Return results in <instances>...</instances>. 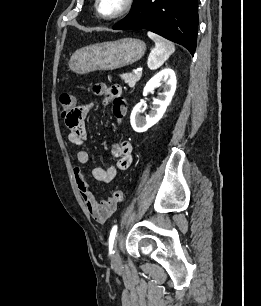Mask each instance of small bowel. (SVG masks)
I'll return each instance as SVG.
<instances>
[{
    "label": "small bowel",
    "mask_w": 261,
    "mask_h": 306,
    "mask_svg": "<svg viewBox=\"0 0 261 306\" xmlns=\"http://www.w3.org/2000/svg\"><path fill=\"white\" fill-rule=\"evenodd\" d=\"M96 96L101 97L102 103L108 105L112 103V113L115 120L121 123L126 113V106L121 99L122 87L120 85H97L94 87ZM94 103H88L76 107L71 113L65 116V124L69 130L68 141L78 147L76 151V159L78 166L74 168V176L78 186V190L83 199V202L91 215V217L99 223H105L116 211L117 202L113 197L97 200L93 195L86 176L82 170V166L90 162V154L84 149L87 142V128L85 120ZM113 154L117 158L115 164L107 169L94 166L92 175L95 180L102 183L111 182L119 171L128 169L132 164V144L124 140L113 146Z\"/></svg>",
    "instance_id": "c3829d8e"
}]
</instances>
